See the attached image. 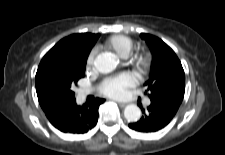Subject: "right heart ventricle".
Masks as SVG:
<instances>
[{
  "instance_id": "right-heart-ventricle-1",
  "label": "right heart ventricle",
  "mask_w": 225,
  "mask_h": 155,
  "mask_svg": "<svg viewBox=\"0 0 225 155\" xmlns=\"http://www.w3.org/2000/svg\"><path fill=\"white\" fill-rule=\"evenodd\" d=\"M104 47L119 57H127L133 48V41L130 37L116 34L110 36L104 43Z\"/></svg>"
}]
</instances>
